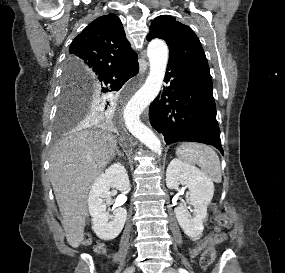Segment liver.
<instances>
[{
	"label": "liver",
	"mask_w": 285,
	"mask_h": 273,
	"mask_svg": "<svg viewBox=\"0 0 285 273\" xmlns=\"http://www.w3.org/2000/svg\"><path fill=\"white\" fill-rule=\"evenodd\" d=\"M90 123L87 119L59 140L50 155V181L67 242L73 248L83 240L91 185L118 149L117 140L110 133L82 130Z\"/></svg>",
	"instance_id": "6515ba94"
}]
</instances>
